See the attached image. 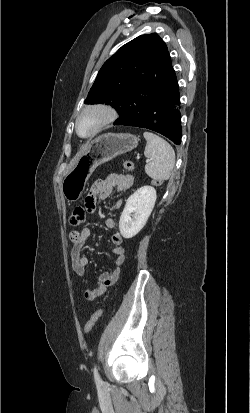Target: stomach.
<instances>
[{"instance_id":"0dacf381","label":"stomach","mask_w":250,"mask_h":413,"mask_svg":"<svg viewBox=\"0 0 250 413\" xmlns=\"http://www.w3.org/2000/svg\"><path fill=\"white\" fill-rule=\"evenodd\" d=\"M139 139L127 133H106L90 142L64 177L61 191L68 202L77 201L97 166L137 147Z\"/></svg>"}]
</instances>
